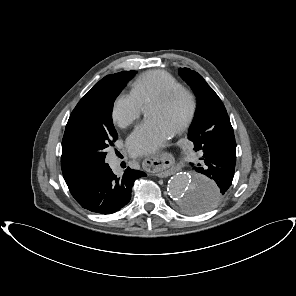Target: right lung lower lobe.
Here are the masks:
<instances>
[{"label":"right lung lower lobe","mask_w":296,"mask_h":296,"mask_svg":"<svg viewBox=\"0 0 296 296\" xmlns=\"http://www.w3.org/2000/svg\"><path fill=\"white\" fill-rule=\"evenodd\" d=\"M146 173L130 169L117 177L104 163L67 183L75 200L85 209L100 214H112L127 205L136 179Z\"/></svg>","instance_id":"right-lung-lower-lobe-1"}]
</instances>
